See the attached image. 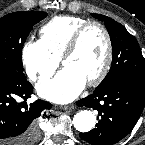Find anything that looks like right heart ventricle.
Masks as SVG:
<instances>
[{"mask_svg":"<svg viewBox=\"0 0 145 145\" xmlns=\"http://www.w3.org/2000/svg\"><path fill=\"white\" fill-rule=\"evenodd\" d=\"M87 21L80 16H55L40 28L39 41L51 56L59 59L74 31Z\"/></svg>","mask_w":145,"mask_h":145,"instance_id":"right-heart-ventricle-1","label":"right heart ventricle"}]
</instances>
